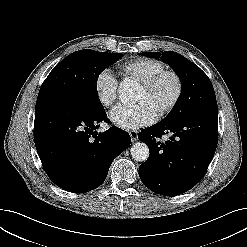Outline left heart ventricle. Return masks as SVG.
<instances>
[{
    "label": "left heart ventricle",
    "instance_id": "obj_1",
    "mask_svg": "<svg viewBox=\"0 0 247 247\" xmlns=\"http://www.w3.org/2000/svg\"><path fill=\"white\" fill-rule=\"evenodd\" d=\"M175 90V80L170 76H166L150 90H145L142 86H140L135 101L140 102L142 100H146L157 112H159L160 109L170 102Z\"/></svg>",
    "mask_w": 247,
    "mask_h": 247
}]
</instances>
